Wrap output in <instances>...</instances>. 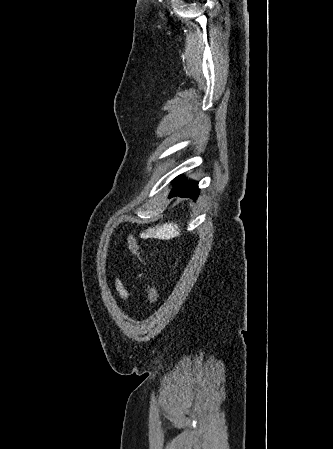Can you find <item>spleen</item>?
<instances>
[{"instance_id":"obj_1","label":"spleen","mask_w":333,"mask_h":449,"mask_svg":"<svg viewBox=\"0 0 333 449\" xmlns=\"http://www.w3.org/2000/svg\"><path fill=\"white\" fill-rule=\"evenodd\" d=\"M180 235L178 224L173 222L164 223L161 226L149 228L141 234L143 238L170 239Z\"/></svg>"}]
</instances>
